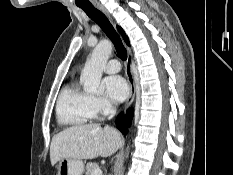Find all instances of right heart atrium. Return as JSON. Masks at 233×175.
Instances as JSON below:
<instances>
[{
  "mask_svg": "<svg viewBox=\"0 0 233 175\" xmlns=\"http://www.w3.org/2000/svg\"><path fill=\"white\" fill-rule=\"evenodd\" d=\"M92 104L96 114H108L113 110L112 102L103 95L92 96Z\"/></svg>",
  "mask_w": 233,
  "mask_h": 175,
  "instance_id": "right-heart-atrium-1",
  "label": "right heart atrium"
}]
</instances>
